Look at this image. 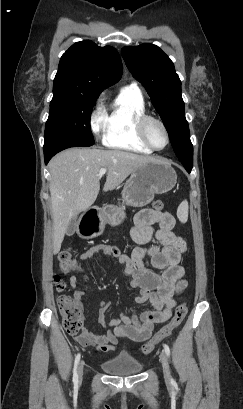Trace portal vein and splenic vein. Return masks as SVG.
<instances>
[{"label": "portal vein and splenic vein", "instance_id": "18ae733b", "mask_svg": "<svg viewBox=\"0 0 243 409\" xmlns=\"http://www.w3.org/2000/svg\"><path fill=\"white\" fill-rule=\"evenodd\" d=\"M106 172H107V169H105V168L100 169L99 170V176L104 175Z\"/></svg>", "mask_w": 243, "mask_h": 409}]
</instances>
